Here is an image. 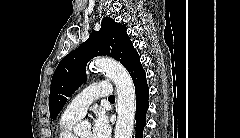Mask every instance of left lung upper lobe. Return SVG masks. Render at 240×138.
Returning <instances> with one entry per match:
<instances>
[{
    "label": "left lung upper lobe",
    "mask_w": 240,
    "mask_h": 138,
    "mask_svg": "<svg viewBox=\"0 0 240 138\" xmlns=\"http://www.w3.org/2000/svg\"><path fill=\"white\" fill-rule=\"evenodd\" d=\"M126 30V26L105 17L99 31L93 30L86 42L60 61L51 81L49 96L51 119L57 117L67 98L86 80L85 67L93 57L111 56L128 68L138 53Z\"/></svg>",
    "instance_id": "left-lung-upper-lobe-1"
}]
</instances>
